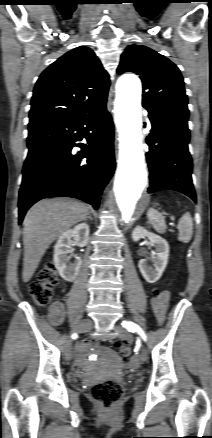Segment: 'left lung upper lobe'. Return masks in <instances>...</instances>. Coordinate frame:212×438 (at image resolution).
<instances>
[{
	"label": "left lung upper lobe",
	"mask_w": 212,
	"mask_h": 438,
	"mask_svg": "<svg viewBox=\"0 0 212 438\" xmlns=\"http://www.w3.org/2000/svg\"><path fill=\"white\" fill-rule=\"evenodd\" d=\"M135 72L143 82V107L149 113L188 121L187 95L177 66L143 45H129L121 56L118 74Z\"/></svg>",
	"instance_id": "5c2ea615"
}]
</instances>
